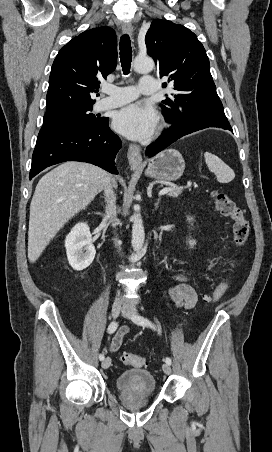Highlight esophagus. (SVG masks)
<instances>
[{
	"instance_id": "34e87169",
	"label": "esophagus",
	"mask_w": 272,
	"mask_h": 452,
	"mask_svg": "<svg viewBox=\"0 0 272 452\" xmlns=\"http://www.w3.org/2000/svg\"><path fill=\"white\" fill-rule=\"evenodd\" d=\"M122 31L125 34L132 35L133 27L130 23L122 25ZM127 158L131 168H137L142 164L141 148L136 144H131L128 149Z\"/></svg>"
}]
</instances>
